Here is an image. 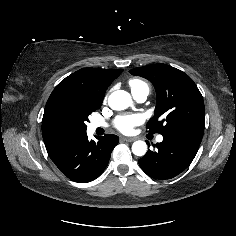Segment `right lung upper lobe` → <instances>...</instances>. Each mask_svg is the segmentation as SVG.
<instances>
[{"mask_svg": "<svg viewBox=\"0 0 236 236\" xmlns=\"http://www.w3.org/2000/svg\"><path fill=\"white\" fill-rule=\"evenodd\" d=\"M122 71L123 69L110 70L90 67L80 69L62 80L55 89L67 90L79 99L102 103L106 89ZM42 135L48 154L67 141L80 136L54 128L48 122L45 114L42 120Z\"/></svg>", "mask_w": 236, "mask_h": 236, "instance_id": "cb5924a9", "label": "right lung upper lobe"}]
</instances>
